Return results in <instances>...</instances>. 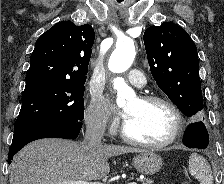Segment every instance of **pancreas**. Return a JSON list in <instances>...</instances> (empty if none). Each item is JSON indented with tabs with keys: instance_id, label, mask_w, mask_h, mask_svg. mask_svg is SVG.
<instances>
[{
	"instance_id": "1",
	"label": "pancreas",
	"mask_w": 224,
	"mask_h": 184,
	"mask_svg": "<svg viewBox=\"0 0 224 184\" xmlns=\"http://www.w3.org/2000/svg\"><path fill=\"white\" fill-rule=\"evenodd\" d=\"M152 183H153V180H150V179L142 180V184H152Z\"/></svg>"
}]
</instances>
